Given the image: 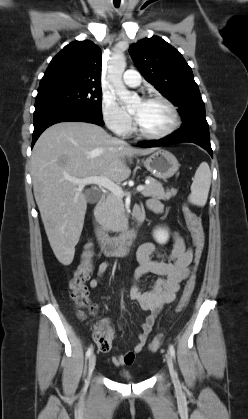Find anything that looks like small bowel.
I'll use <instances>...</instances> for the list:
<instances>
[{"instance_id":"obj_1","label":"small bowel","mask_w":248,"mask_h":419,"mask_svg":"<svg viewBox=\"0 0 248 419\" xmlns=\"http://www.w3.org/2000/svg\"><path fill=\"white\" fill-rule=\"evenodd\" d=\"M147 207L157 214L163 211L161 202L156 199H150ZM136 257L139 266L133 273L129 298L150 314L145 317L142 331L138 334L137 343L132 350L113 357L112 362L115 366L134 363L136 355L143 350L147 342L160 309L163 305L174 301L181 283L190 276L194 262L192 248L186 246L183 237L178 232L173 233V244L169 251L160 250L154 243H144L138 248ZM109 267L110 264L106 261L98 266L96 276L89 282L91 288L98 286L101 277ZM147 275L154 276L155 281L150 290L141 291L137 283ZM97 346L102 353L115 349L112 340L105 345Z\"/></svg>"}]
</instances>
